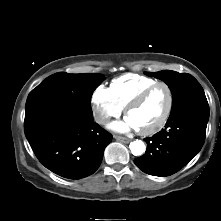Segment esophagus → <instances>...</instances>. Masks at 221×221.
Instances as JSON below:
<instances>
[{
	"instance_id": "34e87169",
	"label": "esophagus",
	"mask_w": 221,
	"mask_h": 221,
	"mask_svg": "<svg viewBox=\"0 0 221 221\" xmlns=\"http://www.w3.org/2000/svg\"><path fill=\"white\" fill-rule=\"evenodd\" d=\"M114 138H115L117 141L121 142V143L127 144V143L130 142V140H129L128 138H126V137H122V136L115 135Z\"/></svg>"
}]
</instances>
